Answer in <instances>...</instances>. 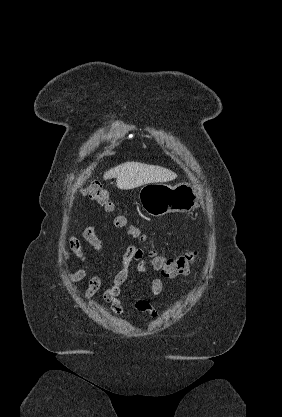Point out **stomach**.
Listing matches in <instances>:
<instances>
[{"label": "stomach", "instance_id": "stomach-1", "mask_svg": "<svg viewBox=\"0 0 282 417\" xmlns=\"http://www.w3.org/2000/svg\"><path fill=\"white\" fill-rule=\"evenodd\" d=\"M143 211L152 217L167 213H189L198 204V194L189 184L170 186L165 182H149L139 192Z\"/></svg>", "mask_w": 282, "mask_h": 417}]
</instances>
